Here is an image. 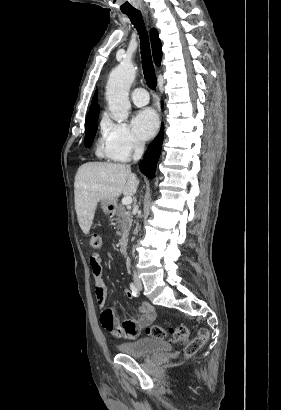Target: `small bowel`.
Returning <instances> with one entry per match:
<instances>
[{"label":"small bowel","mask_w":281,"mask_h":410,"mask_svg":"<svg viewBox=\"0 0 281 410\" xmlns=\"http://www.w3.org/2000/svg\"><path fill=\"white\" fill-rule=\"evenodd\" d=\"M101 257L98 254L90 256V268L94 282V291L96 295L97 304L101 311V322L103 324V313L107 310L111 312V325L104 326L105 330L117 339L135 340L140 330L149 325L156 317V310L151 304H143L138 309V316L135 318L118 321L112 311L106 307L107 304V287L102 276ZM124 295L127 298H132L133 292L131 289H125Z\"/></svg>","instance_id":"small-bowel-1"}]
</instances>
